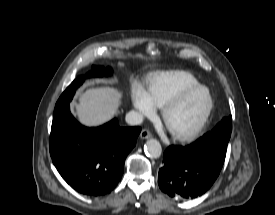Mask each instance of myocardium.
<instances>
[{"mask_svg": "<svg viewBox=\"0 0 275 215\" xmlns=\"http://www.w3.org/2000/svg\"><path fill=\"white\" fill-rule=\"evenodd\" d=\"M198 90H204L208 96V106H207L206 111L203 114L202 118L200 119V121L194 127H192L191 129H189L187 131H184V132H176V131L171 130L168 126V117H169V114L171 113V111L174 108H176L188 95H190ZM213 107H214V99H213L211 91L206 86L198 84V85H194L191 87H187V88L181 90L174 97H172L164 105L163 111H162V117H163V121H164L165 125L169 129L172 136L175 139H178L181 141H186V140H190V139L194 138L197 134H199L202 131V129L205 127V125L207 124V122L211 116Z\"/></svg>", "mask_w": 275, "mask_h": 215, "instance_id": "obj_1", "label": "myocardium"}]
</instances>
